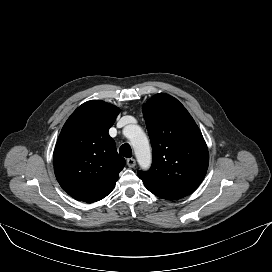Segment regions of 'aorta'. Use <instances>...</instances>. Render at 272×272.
Returning <instances> with one entry per match:
<instances>
[{
    "label": "aorta",
    "instance_id": "1",
    "mask_svg": "<svg viewBox=\"0 0 272 272\" xmlns=\"http://www.w3.org/2000/svg\"><path fill=\"white\" fill-rule=\"evenodd\" d=\"M126 136L132 144L139 165L143 169L149 168L152 162V155L149 141L144 131L138 125H129Z\"/></svg>",
    "mask_w": 272,
    "mask_h": 272
}]
</instances>
